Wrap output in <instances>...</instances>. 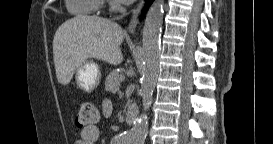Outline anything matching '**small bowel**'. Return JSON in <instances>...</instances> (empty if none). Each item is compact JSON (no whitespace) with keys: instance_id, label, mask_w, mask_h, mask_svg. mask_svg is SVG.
I'll use <instances>...</instances> for the list:
<instances>
[{"instance_id":"1","label":"small bowel","mask_w":273,"mask_h":144,"mask_svg":"<svg viewBox=\"0 0 273 144\" xmlns=\"http://www.w3.org/2000/svg\"><path fill=\"white\" fill-rule=\"evenodd\" d=\"M104 116H110L112 113V106L110 103L105 102L102 107ZM99 128L97 126H90L80 131V137L75 144H95L99 139Z\"/></svg>"}]
</instances>
